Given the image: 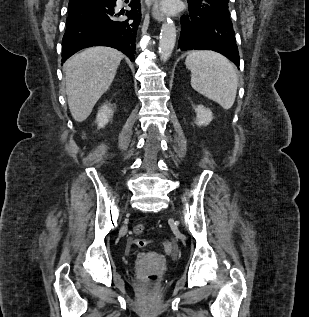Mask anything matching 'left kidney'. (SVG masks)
I'll return each instance as SVG.
<instances>
[{
	"label": "left kidney",
	"mask_w": 309,
	"mask_h": 317,
	"mask_svg": "<svg viewBox=\"0 0 309 317\" xmlns=\"http://www.w3.org/2000/svg\"><path fill=\"white\" fill-rule=\"evenodd\" d=\"M196 112V124L198 126L208 125L212 119L213 115L210 109H206L204 106L199 105L195 108Z\"/></svg>",
	"instance_id": "5707ae66"
}]
</instances>
